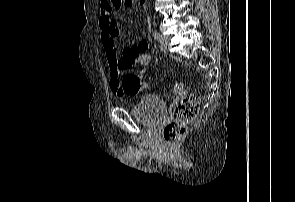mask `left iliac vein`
Returning <instances> with one entry per match:
<instances>
[{
  "instance_id": "4c4485c4",
  "label": "left iliac vein",
  "mask_w": 295,
  "mask_h": 202,
  "mask_svg": "<svg viewBox=\"0 0 295 202\" xmlns=\"http://www.w3.org/2000/svg\"><path fill=\"white\" fill-rule=\"evenodd\" d=\"M170 40V37L169 36H166V35H162L161 36V39H160V44L163 48H166L167 45H168V42Z\"/></svg>"
}]
</instances>
